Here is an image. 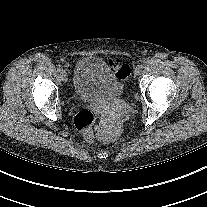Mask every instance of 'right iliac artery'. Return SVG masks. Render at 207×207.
<instances>
[{
    "instance_id": "right-iliac-artery-1",
    "label": "right iliac artery",
    "mask_w": 207,
    "mask_h": 207,
    "mask_svg": "<svg viewBox=\"0 0 207 207\" xmlns=\"http://www.w3.org/2000/svg\"><path fill=\"white\" fill-rule=\"evenodd\" d=\"M57 69H58V71H63V67L61 66V65H58V67H57Z\"/></svg>"
}]
</instances>
